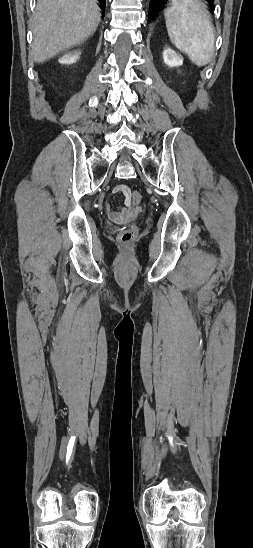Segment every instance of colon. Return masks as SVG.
I'll use <instances>...</instances> for the list:
<instances>
[{
  "instance_id": "1",
  "label": "colon",
  "mask_w": 253,
  "mask_h": 548,
  "mask_svg": "<svg viewBox=\"0 0 253 548\" xmlns=\"http://www.w3.org/2000/svg\"><path fill=\"white\" fill-rule=\"evenodd\" d=\"M130 199L134 205H138L142 201V195L140 192L134 191L131 193ZM134 238L135 235L131 228L122 229L118 236L119 242L126 247L130 246L133 243Z\"/></svg>"
}]
</instances>
